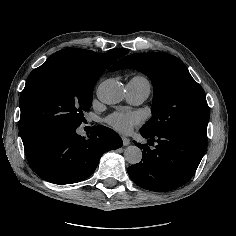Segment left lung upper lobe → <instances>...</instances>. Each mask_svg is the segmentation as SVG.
I'll use <instances>...</instances> for the list:
<instances>
[{
    "instance_id": "left-lung-upper-lobe-1",
    "label": "left lung upper lobe",
    "mask_w": 236,
    "mask_h": 236,
    "mask_svg": "<svg viewBox=\"0 0 236 236\" xmlns=\"http://www.w3.org/2000/svg\"><path fill=\"white\" fill-rule=\"evenodd\" d=\"M120 69L138 70L153 84L152 117L141 133L154 136L172 130L207 136L209 107L205 92L180 59L160 52L136 53L120 59L109 71Z\"/></svg>"
}]
</instances>
